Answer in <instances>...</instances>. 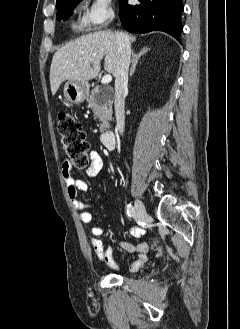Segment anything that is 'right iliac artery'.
<instances>
[{
  "mask_svg": "<svg viewBox=\"0 0 240 329\" xmlns=\"http://www.w3.org/2000/svg\"><path fill=\"white\" fill-rule=\"evenodd\" d=\"M135 211H134V208L131 204H128L127 205V215L129 217H132L134 215Z\"/></svg>",
  "mask_w": 240,
  "mask_h": 329,
  "instance_id": "1",
  "label": "right iliac artery"
}]
</instances>
